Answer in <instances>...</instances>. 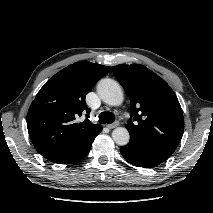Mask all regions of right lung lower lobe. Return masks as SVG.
Wrapping results in <instances>:
<instances>
[{"mask_svg": "<svg viewBox=\"0 0 213 213\" xmlns=\"http://www.w3.org/2000/svg\"><path fill=\"white\" fill-rule=\"evenodd\" d=\"M101 131L102 129L75 147L63 150H49L41 152L40 154L47 160L57 164L76 163L87 156L90 151L92 142Z\"/></svg>", "mask_w": 213, "mask_h": 213, "instance_id": "98d812e1", "label": "right lung lower lobe"}]
</instances>
